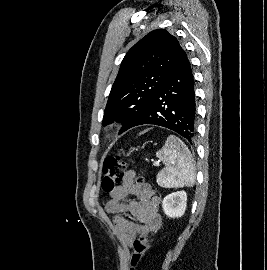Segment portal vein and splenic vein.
I'll return each instance as SVG.
<instances>
[{"label": "portal vein and splenic vein", "instance_id": "portal-vein-and-splenic-vein-1", "mask_svg": "<svg viewBox=\"0 0 267 270\" xmlns=\"http://www.w3.org/2000/svg\"><path fill=\"white\" fill-rule=\"evenodd\" d=\"M159 162H160V161H155V162H154V165H159Z\"/></svg>", "mask_w": 267, "mask_h": 270}]
</instances>
